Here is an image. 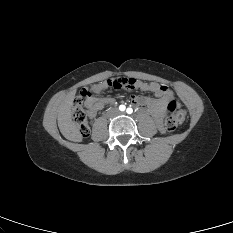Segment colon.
I'll return each instance as SVG.
<instances>
[{
	"instance_id": "5ec220e1",
	"label": "colon",
	"mask_w": 233,
	"mask_h": 233,
	"mask_svg": "<svg viewBox=\"0 0 233 233\" xmlns=\"http://www.w3.org/2000/svg\"><path fill=\"white\" fill-rule=\"evenodd\" d=\"M136 80L133 78H115L105 82L107 88L116 90L133 89ZM94 91L90 88H84L76 97L73 106L72 117L81 136L86 137L89 133L87 113L90 102L94 97ZM169 114L165 120L164 127L167 131H174L187 118V112L184 109H177L176 102L170 101L168 104Z\"/></svg>"
}]
</instances>
